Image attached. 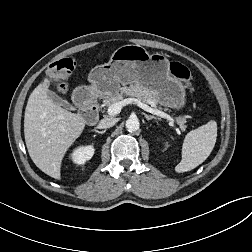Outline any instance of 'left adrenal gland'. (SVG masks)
<instances>
[{"mask_svg": "<svg viewBox=\"0 0 252 252\" xmlns=\"http://www.w3.org/2000/svg\"><path fill=\"white\" fill-rule=\"evenodd\" d=\"M145 118H146V120H152V119H154V120H159V118H157V117H155V116H152V115H147V114H145Z\"/></svg>", "mask_w": 252, "mask_h": 252, "instance_id": "a2214340", "label": "left adrenal gland"}]
</instances>
